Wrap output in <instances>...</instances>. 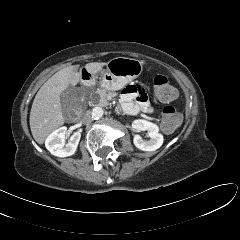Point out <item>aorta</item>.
<instances>
[{
  "instance_id": "aorta-1",
  "label": "aorta",
  "mask_w": 240,
  "mask_h": 240,
  "mask_svg": "<svg viewBox=\"0 0 240 240\" xmlns=\"http://www.w3.org/2000/svg\"><path fill=\"white\" fill-rule=\"evenodd\" d=\"M103 109L101 107H94L92 109V118L97 120V119H100L102 116H103Z\"/></svg>"
}]
</instances>
